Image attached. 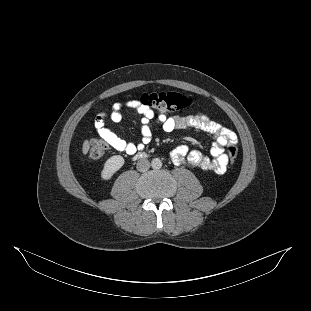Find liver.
I'll list each match as a JSON object with an SVG mask.
<instances>
[{"label": "liver", "instance_id": "liver-1", "mask_svg": "<svg viewBox=\"0 0 311 311\" xmlns=\"http://www.w3.org/2000/svg\"><path fill=\"white\" fill-rule=\"evenodd\" d=\"M89 147H90L89 142L86 141V142L84 143V146H83V152H84V154H86V153L88 152Z\"/></svg>", "mask_w": 311, "mask_h": 311}]
</instances>
